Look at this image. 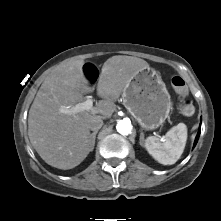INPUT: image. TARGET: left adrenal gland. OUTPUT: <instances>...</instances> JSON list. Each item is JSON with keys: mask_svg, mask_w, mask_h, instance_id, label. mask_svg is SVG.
Returning <instances> with one entry per match:
<instances>
[{"mask_svg": "<svg viewBox=\"0 0 221 221\" xmlns=\"http://www.w3.org/2000/svg\"><path fill=\"white\" fill-rule=\"evenodd\" d=\"M144 133L141 131L140 133V145L143 146Z\"/></svg>", "mask_w": 221, "mask_h": 221, "instance_id": "left-adrenal-gland-1", "label": "left adrenal gland"}]
</instances>
